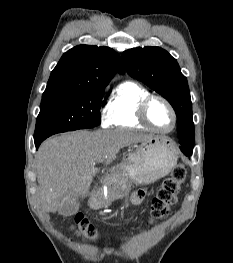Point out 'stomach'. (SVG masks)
<instances>
[{
	"label": "stomach",
	"mask_w": 233,
	"mask_h": 263,
	"mask_svg": "<svg viewBox=\"0 0 233 263\" xmlns=\"http://www.w3.org/2000/svg\"><path fill=\"white\" fill-rule=\"evenodd\" d=\"M178 155L173 143L166 137L153 136L134 146L112 174L110 195L122 197L132 184L148 185L168 175L177 164ZM90 205L98 208L103 198H92Z\"/></svg>",
	"instance_id": "stomach-1"
}]
</instances>
